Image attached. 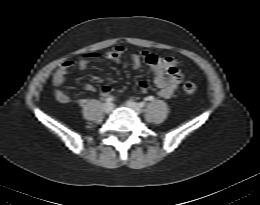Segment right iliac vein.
Here are the masks:
<instances>
[{
    "instance_id": "63e3f726",
    "label": "right iliac vein",
    "mask_w": 260,
    "mask_h": 205,
    "mask_svg": "<svg viewBox=\"0 0 260 205\" xmlns=\"http://www.w3.org/2000/svg\"><path fill=\"white\" fill-rule=\"evenodd\" d=\"M103 110L105 113H110L113 110V104L112 103L104 104Z\"/></svg>"
}]
</instances>
